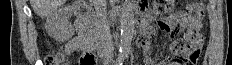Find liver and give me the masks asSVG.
<instances>
[{
  "mask_svg": "<svg viewBox=\"0 0 232 65\" xmlns=\"http://www.w3.org/2000/svg\"><path fill=\"white\" fill-rule=\"evenodd\" d=\"M65 2L66 0H30L31 7L40 17L49 16Z\"/></svg>",
  "mask_w": 232,
  "mask_h": 65,
  "instance_id": "liver-1",
  "label": "liver"
}]
</instances>
